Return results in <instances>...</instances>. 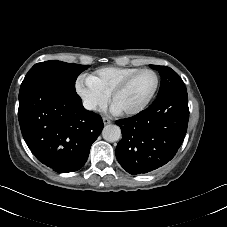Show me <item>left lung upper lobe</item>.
Segmentation results:
<instances>
[{"mask_svg":"<svg viewBox=\"0 0 227 227\" xmlns=\"http://www.w3.org/2000/svg\"><path fill=\"white\" fill-rule=\"evenodd\" d=\"M150 67L156 69L161 76V85L158 96L170 91H187L182 79L171 68L158 65H150Z\"/></svg>","mask_w":227,"mask_h":227,"instance_id":"5c2ea615","label":"left lung upper lobe"}]
</instances>
